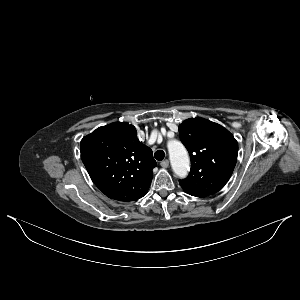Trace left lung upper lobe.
<instances>
[{
    "mask_svg": "<svg viewBox=\"0 0 300 300\" xmlns=\"http://www.w3.org/2000/svg\"><path fill=\"white\" fill-rule=\"evenodd\" d=\"M179 134L191 158L189 176L179 181L183 190L196 197L221 190L237 161L238 143L234 136L221 125L203 118L182 122Z\"/></svg>",
    "mask_w": 300,
    "mask_h": 300,
    "instance_id": "obj_1",
    "label": "left lung upper lobe"
}]
</instances>
